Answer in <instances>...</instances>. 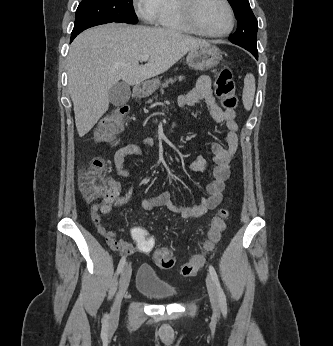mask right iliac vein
<instances>
[{
    "label": "right iliac vein",
    "instance_id": "right-iliac-vein-1",
    "mask_svg": "<svg viewBox=\"0 0 333 346\" xmlns=\"http://www.w3.org/2000/svg\"><path fill=\"white\" fill-rule=\"evenodd\" d=\"M130 278H131V266L130 264H127L122 270V273L119 279L118 289H117V292L111 307V311H110V324L112 325L116 324L119 319L122 298L129 286Z\"/></svg>",
    "mask_w": 333,
    "mask_h": 346
}]
</instances>
